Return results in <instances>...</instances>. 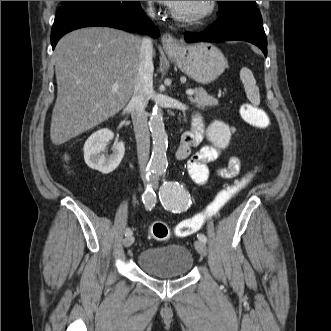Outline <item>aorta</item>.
<instances>
[{
    "mask_svg": "<svg viewBox=\"0 0 331 331\" xmlns=\"http://www.w3.org/2000/svg\"><path fill=\"white\" fill-rule=\"evenodd\" d=\"M149 128L153 140V149L150 168L156 173H162L167 168L168 136L163 122L162 109L158 106L153 108L149 120Z\"/></svg>",
    "mask_w": 331,
    "mask_h": 331,
    "instance_id": "1",
    "label": "aorta"
}]
</instances>
